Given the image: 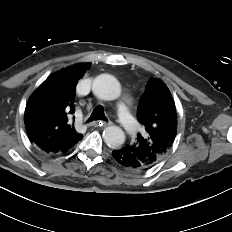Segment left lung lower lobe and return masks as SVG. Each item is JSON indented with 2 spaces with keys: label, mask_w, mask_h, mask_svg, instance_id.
<instances>
[{
  "label": "left lung lower lobe",
  "mask_w": 232,
  "mask_h": 232,
  "mask_svg": "<svg viewBox=\"0 0 232 232\" xmlns=\"http://www.w3.org/2000/svg\"><path fill=\"white\" fill-rule=\"evenodd\" d=\"M113 160L121 167L131 171L145 170L128 145L112 151Z\"/></svg>",
  "instance_id": "obj_1"
}]
</instances>
